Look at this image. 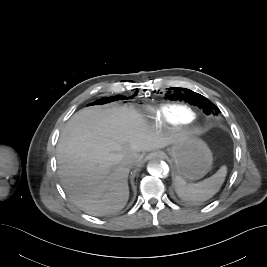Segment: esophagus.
I'll use <instances>...</instances> for the list:
<instances>
[{
  "label": "esophagus",
  "mask_w": 267,
  "mask_h": 267,
  "mask_svg": "<svg viewBox=\"0 0 267 267\" xmlns=\"http://www.w3.org/2000/svg\"><path fill=\"white\" fill-rule=\"evenodd\" d=\"M161 156V153L160 152H152V153H149L146 157H145V160H150V159H153V158H157V157H160Z\"/></svg>",
  "instance_id": "obj_1"
}]
</instances>
